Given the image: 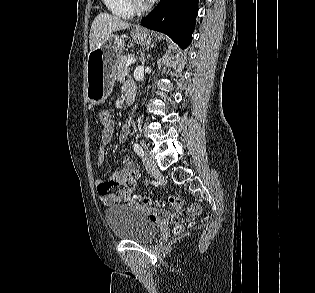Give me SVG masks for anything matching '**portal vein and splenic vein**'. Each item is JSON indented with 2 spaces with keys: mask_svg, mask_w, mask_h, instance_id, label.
I'll use <instances>...</instances> for the list:
<instances>
[{
  "mask_svg": "<svg viewBox=\"0 0 315 293\" xmlns=\"http://www.w3.org/2000/svg\"><path fill=\"white\" fill-rule=\"evenodd\" d=\"M136 59L133 57H129L126 61V66H130L131 64L135 63Z\"/></svg>",
  "mask_w": 315,
  "mask_h": 293,
  "instance_id": "18ae733b",
  "label": "portal vein and splenic vein"
}]
</instances>
